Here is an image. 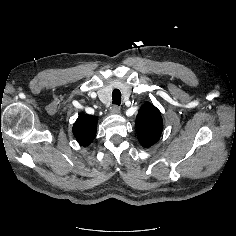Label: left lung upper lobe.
Returning <instances> with one entry per match:
<instances>
[{"instance_id": "1", "label": "left lung upper lobe", "mask_w": 236, "mask_h": 236, "mask_svg": "<svg viewBox=\"0 0 236 236\" xmlns=\"http://www.w3.org/2000/svg\"><path fill=\"white\" fill-rule=\"evenodd\" d=\"M136 126L139 142L149 148L159 140L163 131L160 111L153 104L145 103L138 112Z\"/></svg>"}]
</instances>
